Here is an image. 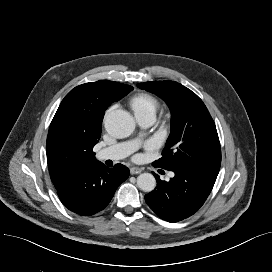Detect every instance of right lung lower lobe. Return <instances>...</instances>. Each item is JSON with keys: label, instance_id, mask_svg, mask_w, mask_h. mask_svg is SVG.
Wrapping results in <instances>:
<instances>
[{"label": "right lung lower lobe", "instance_id": "1", "mask_svg": "<svg viewBox=\"0 0 272 272\" xmlns=\"http://www.w3.org/2000/svg\"><path fill=\"white\" fill-rule=\"evenodd\" d=\"M128 176L129 169L124 165L108 168L99 163L86 168L76 181L57 190V194L70 211L90 216L109 204L118 186Z\"/></svg>", "mask_w": 272, "mask_h": 272}]
</instances>
